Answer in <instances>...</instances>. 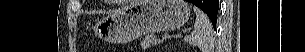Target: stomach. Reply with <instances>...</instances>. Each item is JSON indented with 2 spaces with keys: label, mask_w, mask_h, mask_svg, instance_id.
Returning <instances> with one entry per match:
<instances>
[{
  "label": "stomach",
  "mask_w": 305,
  "mask_h": 52,
  "mask_svg": "<svg viewBox=\"0 0 305 52\" xmlns=\"http://www.w3.org/2000/svg\"><path fill=\"white\" fill-rule=\"evenodd\" d=\"M189 17L184 0H139L99 21L93 33L106 42L125 43L143 34L178 29Z\"/></svg>",
  "instance_id": "obj_1"
}]
</instances>
